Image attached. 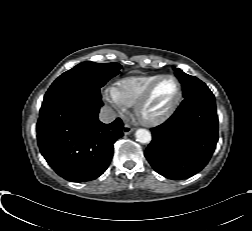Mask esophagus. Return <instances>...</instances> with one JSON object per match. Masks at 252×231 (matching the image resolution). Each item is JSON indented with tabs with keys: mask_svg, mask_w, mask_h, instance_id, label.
Returning a JSON list of instances; mask_svg holds the SVG:
<instances>
[{
	"mask_svg": "<svg viewBox=\"0 0 252 231\" xmlns=\"http://www.w3.org/2000/svg\"><path fill=\"white\" fill-rule=\"evenodd\" d=\"M133 130L134 129L130 125H128V124H125L124 127H123V133L125 135L130 134L131 132H133Z\"/></svg>",
	"mask_w": 252,
	"mask_h": 231,
	"instance_id": "esophagus-1",
	"label": "esophagus"
}]
</instances>
